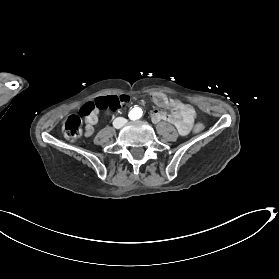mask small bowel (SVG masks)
Masks as SVG:
<instances>
[{"label":"small bowel","instance_id":"small-bowel-1","mask_svg":"<svg viewBox=\"0 0 279 279\" xmlns=\"http://www.w3.org/2000/svg\"><path fill=\"white\" fill-rule=\"evenodd\" d=\"M153 101L158 106L171 109V114L159 110L152 111L151 118L154 122H170L176 127L181 135H187L190 132L194 124V116L185 109L184 105L180 101L159 93L153 95ZM98 118L99 110H93L86 115V135L92 134L93 126L98 122Z\"/></svg>","mask_w":279,"mask_h":279}]
</instances>
